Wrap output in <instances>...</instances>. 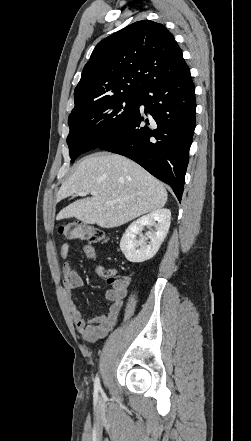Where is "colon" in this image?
I'll return each instance as SVG.
<instances>
[{"label":"colon","mask_w":251,"mask_h":441,"mask_svg":"<svg viewBox=\"0 0 251 441\" xmlns=\"http://www.w3.org/2000/svg\"><path fill=\"white\" fill-rule=\"evenodd\" d=\"M59 231L70 240L87 241L89 243H102L107 240V236L102 230L80 221L69 222L61 226ZM105 278L109 284L124 285L128 283V277L117 275L113 270L107 271Z\"/></svg>","instance_id":"obj_1"}]
</instances>
